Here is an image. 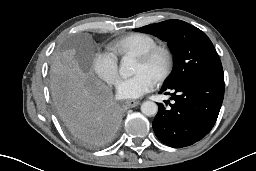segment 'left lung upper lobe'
<instances>
[{
  "label": "left lung upper lobe",
  "instance_id": "obj_1",
  "mask_svg": "<svg viewBox=\"0 0 256 171\" xmlns=\"http://www.w3.org/2000/svg\"><path fill=\"white\" fill-rule=\"evenodd\" d=\"M167 42L174 54V68L163 87H171L191 77L223 78L222 64L207 35L181 20H167L134 29Z\"/></svg>",
  "mask_w": 256,
  "mask_h": 171
}]
</instances>
